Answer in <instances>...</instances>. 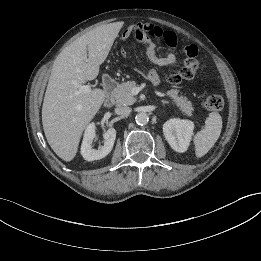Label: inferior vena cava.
I'll return each instance as SVG.
<instances>
[{"label":"inferior vena cava","mask_w":261,"mask_h":261,"mask_svg":"<svg viewBox=\"0 0 261 261\" xmlns=\"http://www.w3.org/2000/svg\"><path fill=\"white\" fill-rule=\"evenodd\" d=\"M131 108L127 106L117 107L115 113L118 115H128L131 113Z\"/></svg>","instance_id":"obj_1"}]
</instances>
